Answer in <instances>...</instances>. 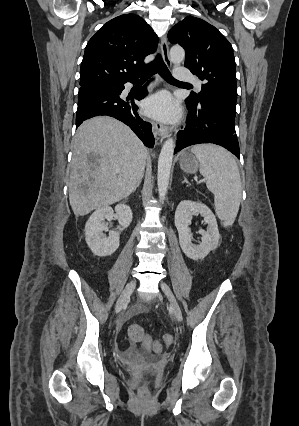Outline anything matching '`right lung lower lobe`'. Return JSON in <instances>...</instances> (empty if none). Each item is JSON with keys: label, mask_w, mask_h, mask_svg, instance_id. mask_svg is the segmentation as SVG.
Returning <instances> with one entry per match:
<instances>
[{"label": "right lung lower lobe", "mask_w": 299, "mask_h": 426, "mask_svg": "<svg viewBox=\"0 0 299 426\" xmlns=\"http://www.w3.org/2000/svg\"><path fill=\"white\" fill-rule=\"evenodd\" d=\"M137 79L129 80L117 85H83L78 93V109L76 116V128L86 119L99 115L114 117L128 125L142 140L144 145L152 148L154 137L151 124L143 121L138 113V106L133 98L123 99L121 93L124 84L135 83ZM147 95L145 86L136 94L135 99L141 100Z\"/></svg>", "instance_id": "right-lung-lower-lobe-1"}]
</instances>
